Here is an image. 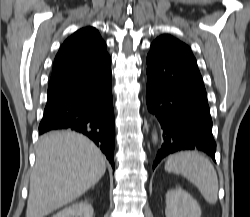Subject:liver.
<instances>
[{"mask_svg": "<svg viewBox=\"0 0 250 217\" xmlns=\"http://www.w3.org/2000/svg\"><path fill=\"white\" fill-rule=\"evenodd\" d=\"M106 171L105 157L85 136L71 131L42 136L30 177L26 217H45L94 186Z\"/></svg>", "mask_w": 250, "mask_h": 217, "instance_id": "obj_1", "label": "liver"}]
</instances>
